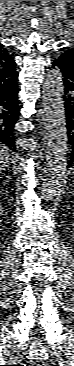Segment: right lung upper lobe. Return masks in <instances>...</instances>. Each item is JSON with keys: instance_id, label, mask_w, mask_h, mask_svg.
I'll use <instances>...</instances> for the list:
<instances>
[{"instance_id": "right-lung-upper-lobe-1", "label": "right lung upper lobe", "mask_w": 74, "mask_h": 366, "mask_svg": "<svg viewBox=\"0 0 74 366\" xmlns=\"http://www.w3.org/2000/svg\"><path fill=\"white\" fill-rule=\"evenodd\" d=\"M17 78L16 63L7 49L0 44V85L10 84Z\"/></svg>"}]
</instances>
